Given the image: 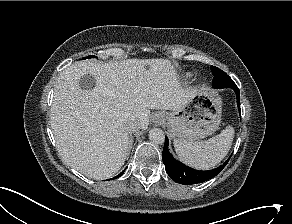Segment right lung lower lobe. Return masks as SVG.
Returning a JSON list of instances; mask_svg holds the SVG:
<instances>
[{
  "instance_id": "98d812e1",
  "label": "right lung lower lobe",
  "mask_w": 292,
  "mask_h": 224,
  "mask_svg": "<svg viewBox=\"0 0 292 224\" xmlns=\"http://www.w3.org/2000/svg\"><path fill=\"white\" fill-rule=\"evenodd\" d=\"M123 173H124V171H122L118 176H116V177H114V178H112V179H115V178L120 177Z\"/></svg>"
}]
</instances>
